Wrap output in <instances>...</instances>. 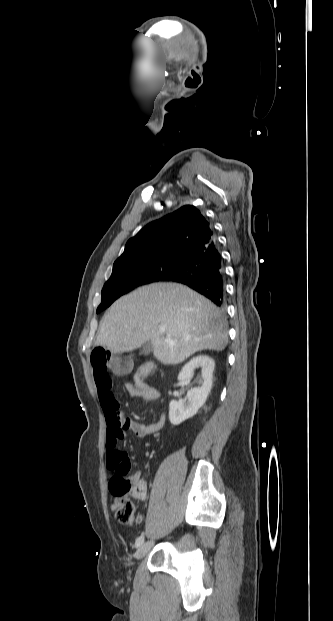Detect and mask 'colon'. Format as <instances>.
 <instances>
[{
  "instance_id": "colon-1",
  "label": "colon",
  "mask_w": 333,
  "mask_h": 621,
  "mask_svg": "<svg viewBox=\"0 0 333 621\" xmlns=\"http://www.w3.org/2000/svg\"><path fill=\"white\" fill-rule=\"evenodd\" d=\"M154 369L155 366L152 363L141 365L136 370L133 383L128 384L132 385L137 380H144L153 373ZM128 470L123 467L113 469L109 481L110 491L115 497L111 508L114 511L116 520L123 524H132L141 520L140 517L136 516L135 506L128 498L129 494L132 495V493L140 490L131 477H128Z\"/></svg>"
}]
</instances>
